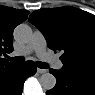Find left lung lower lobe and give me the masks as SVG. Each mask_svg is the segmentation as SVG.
Listing matches in <instances>:
<instances>
[{
	"label": "left lung lower lobe",
	"mask_w": 95,
	"mask_h": 95,
	"mask_svg": "<svg viewBox=\"0 0 95 95\" xmlns=\"http://www.w3.org/2000/svg\"><path fill=\"white\" fill-rule=\"evenodd\" d=\"M56 77V85L46 92L47 95H95V75L76 72L73 70L50 69Z\"/></svg>",
	"instance_id": "left-lung-lower-lobe-1"
}]
</instances>
